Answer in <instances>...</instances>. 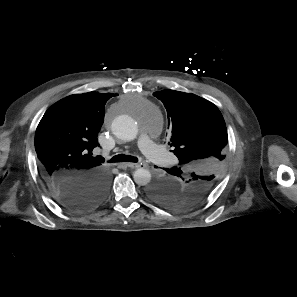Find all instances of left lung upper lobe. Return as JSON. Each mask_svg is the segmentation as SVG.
Wrapping results in <instances>:
<instances>
[{
  "label": "left lung upper lobe",
  "instance_id": "1",
  "mask_svg": "<svg viewBox=\"0 0 297 297\" xmlns=\"http://www.w3.org/2000/svg\"><path fill=\"white\" fill-rule=\"evenodd\" d=\"M153 95L167 110L168 144L179 165L165 169L147 194L160 205L187 209L208 196L225 167L226 124L213 103L194 94L167 89Z\"/></svg>",
  "mask_w": 297,
  "mask_h": 297
}]
</instances>
